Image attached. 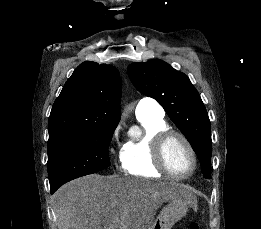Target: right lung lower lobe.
<instances>
[{
	"label": "right lung lower lobe",
	"mask_w": 261,
	"mask_h": 229,
	"mask_svg": "<svg viewBox=\"0 0 261 229\" xmlns=\"http://www.w3.org/2000/svg\"><path fill=\"white\" fill-rule=\"evenodd\" d=\"M50 191H51V194L55 192V191H53V190H51V189H50Z\"/></svg>",
	"instance_id": "obj_1"
}]
</instances>
